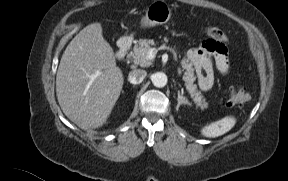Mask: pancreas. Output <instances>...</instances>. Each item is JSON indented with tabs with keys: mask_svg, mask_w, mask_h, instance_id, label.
<instances>
[{
	"mask_svg": "<svg viewBox=\"0 0 288 181\" xmlns=\"http://www.w3.org/2000/svg\"><path fill=\"white\" fill-rule=\"evenodd\" d=\"M152 46H156V43L152 39H140L138 43L133 48L134 59L141 66L148 65V61L146 56L148 51L152 48ZM181 65L185 70L183 75V80L185 81V87L188 93L190 94L193 102L197 107L201 109L207 108L208 103L205 98L201 94V92L197 89V85L194 84L196 77L194 76V68L192 63L187 58H183L181 60Z\"/></svg>",
	"mask_w": 288,
	"mask_h": 181,
	"instance_id": "cf45deb5",
	"label": "pancreas"
}]
</instances>
